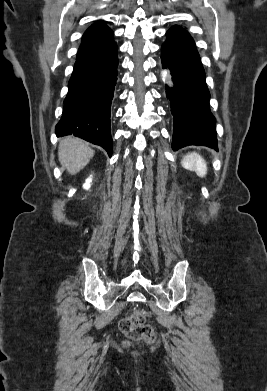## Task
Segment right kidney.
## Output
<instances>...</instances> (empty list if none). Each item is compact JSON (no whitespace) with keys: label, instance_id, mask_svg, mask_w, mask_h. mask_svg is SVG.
I'll return each mask as SVG.
<instances>
[{"label":"right kidney","instance_id":"right-kidney-1","mask_svg":"<svg viewBox=\"0 0 267 391\" xmlns=\"http://www.w3.org/2000/svg\"><path fill=\"white\" fill-rule=\"evenodd\" d=\"M91 182H92V176L86 179L85 183L83 184V188L88 190L91 186Z\"/></svg>","mask_w":267,"mask_h":391}]
</instances>
